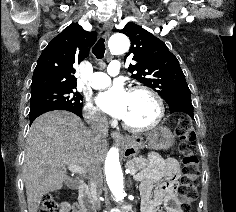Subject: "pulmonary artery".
<instances>
[{
	"instance_id": "obj_1",
	"label": "pulmonary artery",
	"mask_w": 236,
	"mask_h": 212,
	"mask_svg": "<svg viewBox=\"0 0 236 212\" xmlns=\"http://www.w3.org/2000/svg\"><path fill=\"white\" fill-rule=\"evenodd\" d=\"M120 72V63L113 61L107 69V73L95 72L92 74L91 86L96 89H101L110 84V76H115Z\"/></svg>"
}]
</instances>
